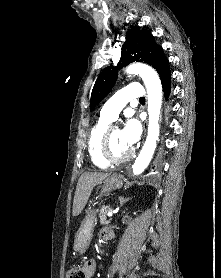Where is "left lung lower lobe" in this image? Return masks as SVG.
Here are the masks:
<instances>
[{
  "instance_id": "obj_1",
  "label": "left lung lower lobe",
  "mask_w": 221,
  "mask_h": 278,
  "mask_svg": "<svg viewBox=\"0 0 221 278\" xmlns=\"http://www.w3.org/2000/svg\"><path fill=\"white\" fill-rule=\"evenodd\" d=\"M158 74L160 75L163 91L167 99L170 93V81H171V74L168 68V63L162 69H160Z\"/></svg>"
}]
</instances>
